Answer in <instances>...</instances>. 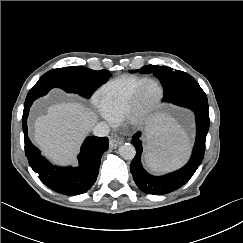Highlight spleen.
I'll return each instance as SVG.
<instances>
[{
  "mask_svg": "<svg viewBox=\"0 0 243 243\" xmlns=\"http://www.w3.org/2000/svg\"><path fill=\"white\" fill-rule=\"evenodd\" d=\"M145 161L154 171H167L186 162L190 142L186 134L168 116L158 115L147 128Z\"/></svg>",
  "mask_w": 243,
  "mask_h": 243,
  "instance_id": "1",
  "label": "spleen"
}]
</instances>
